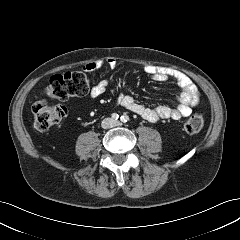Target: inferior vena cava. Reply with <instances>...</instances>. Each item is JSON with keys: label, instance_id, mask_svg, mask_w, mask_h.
<instances>
[{"label": "inferior vena cava", "instance_id": "inferior-vena-cava-1", "mask_svg": "<svg viewBox=\"0 0 240 240\" xmlns=\"http://www.w3.org/2000/svg\"><path fill=\"white\" fill-rule=\"evenodd\" d=\"M115 124L114 120L111 119V118H105L103 121H102V127L103 128H111L113 127Z\"/></svg>", "mask_w": 240, "mask_h": 240}]
</instances>
